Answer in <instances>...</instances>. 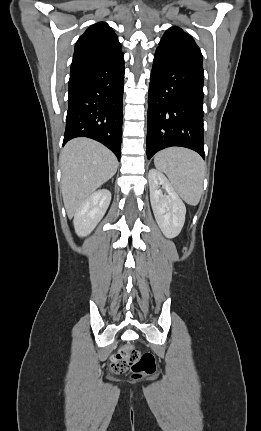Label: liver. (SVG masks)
Instances as JSON below:
<instances>
[{
	"instance_id": "6515ba94",
	"label": "liver",
	"mask_w": 261,
	"mask_h": 431,
	"mask_svg": "<svg viewBox=\"0 0 261 431\" xmlns=\"http://www.w3.org/2000/svg\"><path fill=\"white\" fill-rule=\"evenodd\" d=\"M115 155L89 138L69 141L62 150V195L69 218L85 200L117 171Z\"/></svg>"
}]
</instances>
